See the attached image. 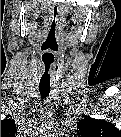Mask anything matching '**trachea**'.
<instances>
[{
  "mask_svg": "<svg viewBox=\"0 0 121 137\" xmlns=\"http://www.w3.org/2000/svg\"><path fill=\"white\" fill-rule=\"evenodd\" d=\"M59 26H60V16L56 7L54 8V12L52 13L51 20L48 26L46 46L49 50H53V48L56 46V38L59 31ZM53 65H54L53 54L46 53L45 57L42 59L40 66L39 91L43 99L46 98L50 93V89H51L50 80H51Z\"/></svg>",
  "mask_w": 121,
  "mask_h": 137,
  "instance_id": "trachea-1",
  "label": "trachea"
}]
</instances>
